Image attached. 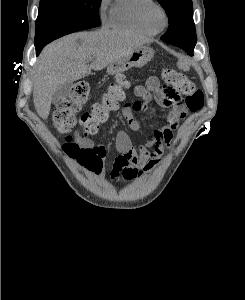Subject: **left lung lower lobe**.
Returning a JSON list of instances; mask_svg holds the SVG:
<instances>
[{
	"label": "left lung lower lobe",
	"instance_id": "0a47b994",
	"mask_svg": "<svg viewBox=\"0 0 245 300\" xmlns=\"http://www.w3.org/2000/svg\"><path fill=\"white\" fill-rule=\"evenodd\" d=\"M188 43H189V40L187 39L184 43H179L178 45H175V46H178V47L182 48V49L185 50L189 55H193V50H194V49H189V48H188Z\"/></svg>",
	"mask_w": 245,
	"mask_h": 300
}]
</instances>
